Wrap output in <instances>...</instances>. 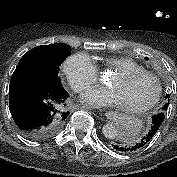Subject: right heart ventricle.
Segmentation results:
<instances>
[{
	"instance_id": "obj_1",
	"label": "right heart ventricle",
	"mask_w": 177,
	"mask_h": 177,
	"mask_svg": "<svg viewBox=\"0 0 177 177\" xmlns=\"http://www.w3.org/2000/svg\"><path fill=\"white\" fill-rule=\"evenodd\" d=\"M103 68L112 69L115 72L144 71V68L139 63L126 57L106 59Z\"/></svg>"
}]
</instances>
